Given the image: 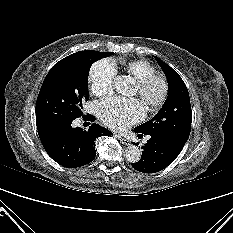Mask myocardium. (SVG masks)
<instances>
[{
    "label": "myocardium",
    "mask_w": 233,
    "mask_h": 233,
    "mask_svg": "<svg viewBox=\"0 0 233 233\" xmlns=\"http://www.w3.org/2000/svg\"><path fill=\"white\" fill-rule=\"evenodd\" d=\"M155 85H159V92L153 96L152 89ZM137 91L146 106L150 110L155 111L166 101L169 94V85L165 77L153 74L137 81Z\"/></svg>",
    "instance_id": "obj_1"
}]
</instances>
